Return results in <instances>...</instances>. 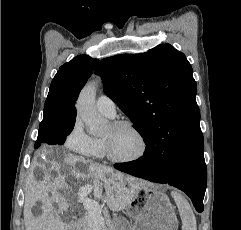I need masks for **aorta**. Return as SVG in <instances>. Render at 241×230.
<instances>
[{"instance_id": "aorta-1", "label": "aorta", "mask_w": 241, "mask_h": 230, "mask_svg": "<svg viewBox=\"0 0 241 230\" xmlns=\"http://www.w3.org/2000/svg\"><path fill=\"white\" fill-rule=\"evenodd\" d=\"M96 83H88L80 92L76 102L78 117L85 123L88 133L94 136L102 135L108 121L102 118L95 107Z\"/></svg>"}]
</instances>
